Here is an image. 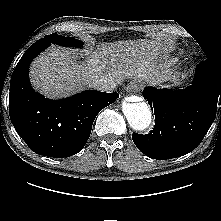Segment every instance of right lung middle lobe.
I'll return each instance as SVG.
<instances>
[{
    "label": "right lung middle lobe",
    "instance_id": "1",
    "mask_svg": "<svg viewBox=\"0 0 221 221\" xmlns=\"http://www.w3.org/2000/svg\"><path fill=\"white\" fill-rule=\"evenodd\" d=\"M43 40H48L53 44H58L61 46H70V47H81L82 46V42L74 39V38H68V37H64V36H59L56 33L54 34H50V35H46L44 38H42Z\"/></svg>",
    "mask_w": 221,
    "mask_h": 221
}]
</instances>
